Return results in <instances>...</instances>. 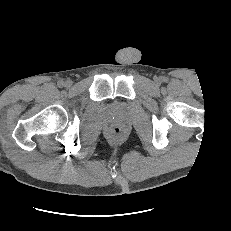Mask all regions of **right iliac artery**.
I'll list each match as a JSON object with an SVG mask.
<instances>
[{"label": "right iliac artery", "instance_id": "right-iliac-artery-1", "mask_svg": "<svg viewBox=\"0 0 231 231\" xmlns=\"http://www.w3.org/2000/svg\"><path fill=\"white\" fill-rule=\"evenodd\" d=\"M64 84H65V83H64L63 81H59V82H58V86H59V87H63Z\"/></svg>", "mask_w": 231, "mask_h": 231}]
</instances>
